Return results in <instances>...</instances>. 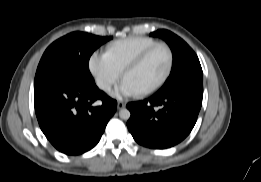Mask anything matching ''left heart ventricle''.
Wrapping results in <instances>:
<instances>
[{"instance_id": "obj_1", "label": "left heart ventricle", "mask_w": 261, "mask_h": 182, "mask_svg": "<svg viewBox=\"0 0 261 182\" xmlns=\"http://www.w3.org/2000/svg\"><path fill=\"white\" fill-rule=\"evenodd\" d=\"M168 53L164 48L153 51L145 61L125 77L137 92L143 91L156 84L165 74L168 66Z\"/></svg>"}]
</instances>
